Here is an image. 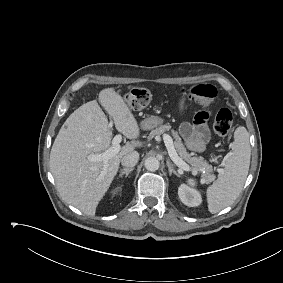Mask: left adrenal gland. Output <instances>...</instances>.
<instances>
[{
	"label": "left adrenal gland",
	"mask_w": 283,
	"mask_h": 283,
	"mask_svg": "<svg viewBox=\"0 0 283 283\" xmlns=\"http://www.w3.org/2000/svg\"><path fill=\"white\" fill-rule=\"evenodd\" d=\"M167 167H168L170 175H172V173H174L177 177L181 176V173H177L176 170L172 167V165L169 161H167Z\"/></svg>",
	"instance_id": "obj_1"
}]
</instances>
